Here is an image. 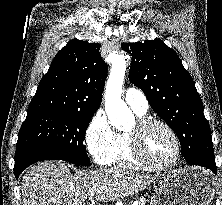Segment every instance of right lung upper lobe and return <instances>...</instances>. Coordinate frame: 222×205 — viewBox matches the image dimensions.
I'll use <instances>...</instances> for the list:
<instances>
[{
  "label": "right lung upper lobe",
  "mask_w": 222,
  "mask_h": 205,
  "mask_svg": "<svg viewBox=\"0 0 222 205\" xmlns=\"http://www.w3.org/2000/svg\"><path fill=\"white\" fill-rule=\"evenodd\" d=\"M99 49L98 43L70 40L41 79L27 115L50 111L95 113L108 71Z\"/></svg>",
  "instance_id": "right-lung-upper-lobe-1"
}]
</instances>
